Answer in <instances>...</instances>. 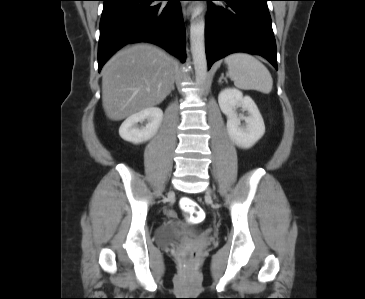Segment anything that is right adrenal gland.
Wrapping results in <instances>:
<instances>
[{"mask_svg":"<svg viewBox=\"0 0 365 299\" xmlns=\"http://www.w3.org/2000/svg\"><path fill=\"white\" fill-rule=\"evenodd\" d=\"M174 82H175V77H174V80H173L172 91L175 89V87H174Z\"/></svg>","mask_w":365,"mask_h":299,"instance_id":"right-adrenal-gland-1","label":"right adrenal gland"}]
</instances>
